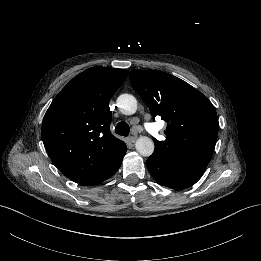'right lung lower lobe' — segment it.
Segmentation results:
<instances>
[{"label": "right lung lower lobe", "instance_id": "right-lung-lower-lobe-1", "mask_svg": "<svg viewBox=\"0 0 261 261\" xmlns=\"http://www.w3.org/2000/svg\"><path fill=\"white\" fill-rule=\"evenodd\" d=\"M125 156V154H123L119 159H117L108 169H106L105 171L84 180L83 182H81V185H86V186H91V185H96L98 183L103 182L104 180L108 179L109 177H111L120 167L121 163H122V159Z\"/></svg>", "mask_w": 261, "mask_h": 261}]
</instances>
